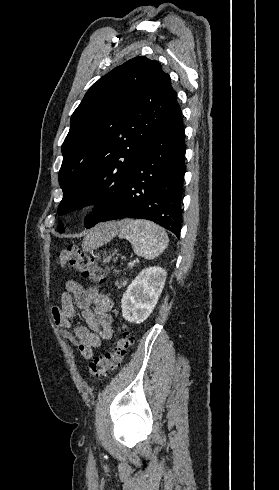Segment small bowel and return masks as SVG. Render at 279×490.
I'll return each instance as SVG.
<instances>
[{
    "mask_svg": "<svg viewBox=\"0 0 279 490\" xmlns=\"http://www.w3.org/2000/svg\"><path fill=\"white\" fill-rule=\"evenodd\" d=\"M76 307L81 310L86 325L76 326L71 331L70 320L75 315ZM111 309V299L96 287L86 288L69 279L60 296V307L52 308V319L61 337L74 345L84 359H89L94 348L101 347L104 340L113 336L112 319L109 315Z\"/></svg>",
    "mask_w": 279,
    "mask_h": 490,
    "instance_id": "small-bowel-1",
    "label": "small bowel"
}]
</instances>
